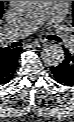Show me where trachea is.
I'll return each mask as SVG.
<instances>
[{"mask_svg": "<svg viewBox=\"0 0 74 122\" xmlns=\"http://www.w3.org/2000/svg\"><path fill=\"white\" fill-rule=\"evenodd\" d=\"M53 40H55L57 42H61V39L58 38L57 36H53ZM12 45H13V47L20 46V44L18 42L13 43Z\"/></svg>", "mask_w": 74, "mask_h": 122, "instance_id": "trachea-1", "label": "trachea"}]
</instances>
